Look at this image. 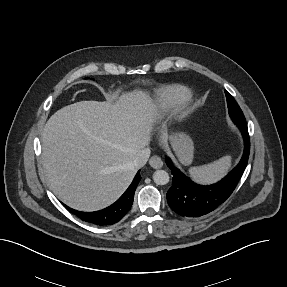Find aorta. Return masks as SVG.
<instances>
[{
	"label": "aorta",
	"mask_w": 287,
	"mask_h": 287,
	"mask_svg": "<svg viewBox=\"0 0 287 287\" xmlns=\"http://www.w3.org/2000/svg\"><path fill=\"white\" fill-rule=\"evenodd\" d=\"M153 180L157 185H166L170 177L165 170H156L153 174Z\"/></svg>",
	"instance_id": "1"
}]
</instances>
